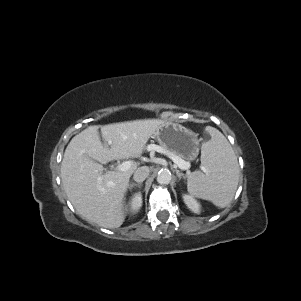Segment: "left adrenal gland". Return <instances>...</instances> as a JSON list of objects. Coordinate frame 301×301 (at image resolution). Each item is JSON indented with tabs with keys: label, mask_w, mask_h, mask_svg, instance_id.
Masks as SVG:
<instances>
[{
	"label": "left adrenal gland",
	"mask_w": 301,
	"mask_h": 301,
	"mask_svg": "<svg viewBox=\"0 0 301 301\" xmlns=\"http://www.w3.org/2000/svg\"><path fill=\"white\" fill-rule=\"evenodd\" d=\"M176 171V174H177V176H178V178H179V180L181 179V178H186V176L183 174V173H181L179 170H175Z\"/></svg>",
	"instance_id": "left-adrenal-gland-1"
}]
</instances>
